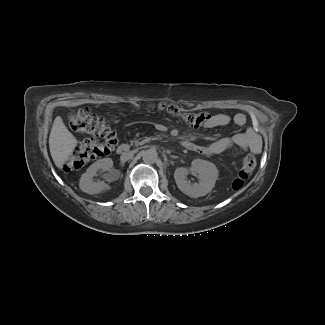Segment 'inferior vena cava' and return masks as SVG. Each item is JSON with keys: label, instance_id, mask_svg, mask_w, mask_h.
<instances>
[{"label": "inferior vena cava", "instance_id": "inferior-vena-cava-1", "mask_svg": "<svg viewBox=\"0 0 325 325\" xmlns=\"http://www.w3.org/2000/svg\"><path fill=\"white\" fill-rule=\"evenodd\" d=\"M131 157H132V154H131V153H126V154H124V155L121 156V160H122V161H127V160H129Z\"/></svg>", "mask_w": 325, "mask_h": 325}]
</instances>
